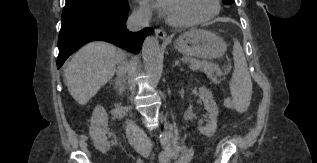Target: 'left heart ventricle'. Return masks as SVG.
<instances>
[{"label": "left heart ventricle", "instance_id": "obj_1", "mask_svg": "<svg viewBox=\"0 0 317 163\" xmlns=\"http://www.w3.org/2000/svg\"><path fill=\"white\" fill-rule=\"evenodd\" d=\"M212 0H167L165 13L179 22L192 21L208 15Z\"/></svg>", "mask_w": 317, "mask_h": 163}]
</instances>
